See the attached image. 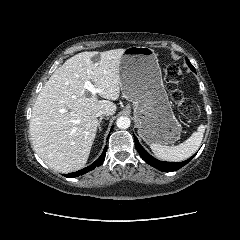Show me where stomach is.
<instances>
[{
  "label": "stomach",
  "mask_w": 240,
  "mask_h": 240,
  "mask_svg": "<svg viewBox=\"0 0 240 240\" xmlns=\"http://www.w3.org/2000/svg\"><path fill=\"white\" fill-rule=\"evenodd\" d=\"M121 92L132 102L138 134L147 144H173L181 126L173 113L153 49L132 46L120 61Z\"/></svg>",
  "instance_id": "obj_1"
}]
</instances>
